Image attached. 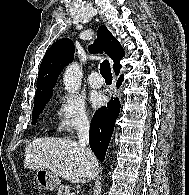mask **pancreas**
Returning a JSON list of instances; mask_svg holds the SVG:
<instances>
[{"instance_id":"pancreas-1","label":"pancreas","mask_w":189,"mask_h":195,"mask_svg":"<svg viewBox=\"0 0 189 195\" xmlns=\"http://www.w3.org/2000/svg\"><path fill=\"white\" fill-rule=\"evenodd\" d=\"M70 193V188L68 186L60 185L57 188V195H68Z\"/></svg>"}]
</instances>
